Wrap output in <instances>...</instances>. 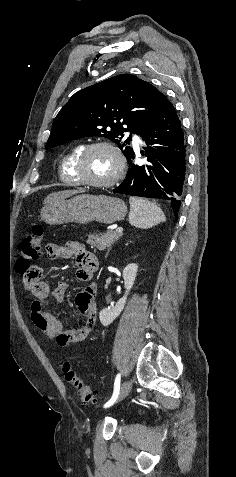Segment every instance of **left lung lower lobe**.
<instances>
[{
    "instance_id": "1",
    "label": "left lung lower lobe",
    "mask_w": 236,
    "mask_h": 477,
    "mask_svg": "<svg viewBox=\"0 0 236 477\" xmlns=\"http://www.w3.org/2000/svg\"><path fill=\"white\" fill-rule=\"evenodd\" d=\"M142 139L147 147H143L141 154L149 163L135 164L133 153L127 159L129 169L125 180L113 191L165 200L177 220L185 184L186 146L176 110L163 94L158 113Z\"/></svg>"
}]
</instances>
